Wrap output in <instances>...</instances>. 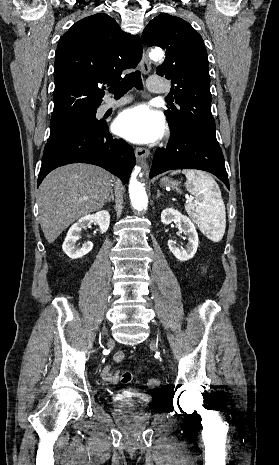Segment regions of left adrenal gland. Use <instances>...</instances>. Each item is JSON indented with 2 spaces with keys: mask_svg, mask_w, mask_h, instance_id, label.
<instances>
[{
  "mask_svg": "<svg viewBox=\"0 0 279 465\" xmlns=\"http://www.w3.org/2000/svg\"><path fill=\"white\" fill-rule=\"evenodd\" d=\"M160 196H162L160 190H157V196H156V199L160 198Z\"/></svg>",
  "mask_w": 279,
  "mask_h": 465,
  "instance_id": "left-adrenal-gland-1",
  "label": "left adrenal gland"
}]
</instances>
